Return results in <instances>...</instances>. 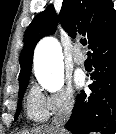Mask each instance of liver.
I'll return each instance as SVG.
<instances>
[{"instance_id": "liver-1", "label": "liver", "mask_w": 116, "mask_h": 134, "mask_svg": "<svg viewBox=\"0 0 116 134\" xmlns=\"http://www.w3.org/2000/svg\"><path fill=\"white\" fill-rule=\"evenodd\" d=\"M22 134H55V132L51 127H45V128H38L31 132H23Z\"/></svg>"}]
</instances>
